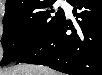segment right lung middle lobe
I'll use <instances>...</instances> for the list:
<instances>
[{"instance_id": "dd1d6c3e", "label": "right lung middle lobe", "mask_w": 102, "mask_h": 75, "mask_svg": "<svg viewBox=\"0 0 102 75\" xmlns=\"http://www.w3.org/2000/svg\"><path fill=\"white\" fill-rule=\"evenodd\" d=\"M54 1L34 9L4 15L1 65L17 62L40 45L65 17L52 9Z\"/></svg>"}]
</instances>
